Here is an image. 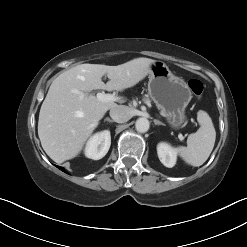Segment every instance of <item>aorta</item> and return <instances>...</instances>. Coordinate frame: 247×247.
Instances as JSON below:
<instances>
[{
	"label": "aorta",
	"mask_w": 247,
	"mask_h": 247,
	"mask_svg": "<svg viewBox=\"0 0 247 247\" xmlns=\"http://www.w3.org/2000/svg\"><path fill=\"white\" fill-rule=\"evenodd\" d=\"M150 123L147 118L141 117L136 120L135 127L136 130L140 133L147 132L149 129Z\"/></svg>",
	"instance_id": "1"
}]
</instances>
